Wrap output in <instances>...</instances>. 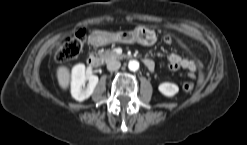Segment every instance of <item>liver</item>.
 Wrapping results in <instances>:
<instances>
[{"mask_svg": "<svg viewBox=\"0 0 247 145\" xmlns=\"http://www.w3.org/2000/svg\"><path fill=\"white\" fill-rule=\"evenodd\" d=\"M56 77L59 86L63 89L66 90L69 86L70 83V73L69 69L66 66H59L56 69Z\"/></svg>", "mask_w": 247, "mask_h": 145, "instance_id": "liver-1", "label": "liver"}]
</instances>
